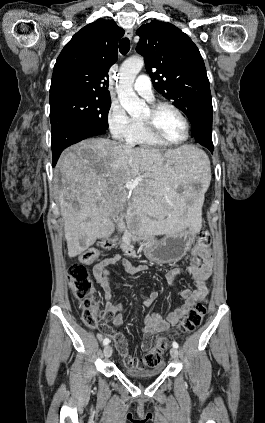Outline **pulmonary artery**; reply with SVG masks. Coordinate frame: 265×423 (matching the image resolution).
<instances>
[{
	"instance_id": "e3ab8cb5",
	"label": "pulmonary artery",
	"mask_w": 265,
	"mask_h": 423,
	"mask_svg": "<svg viewBox=\"0 0 265 423\" xmlns=\"http://www.w3.org/2000/svg\"><path fill=\"white\" fill-rule=\"evenodd\" d=\"M135 92L148 101L153 100V90L150 79L146 75L137 78L133 86Z\"/></svg>"
}]
</instances>
